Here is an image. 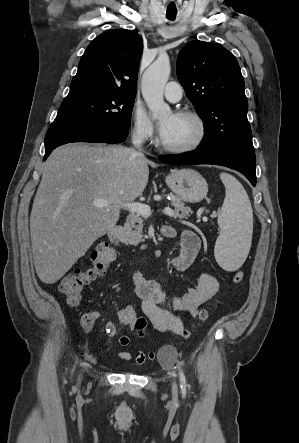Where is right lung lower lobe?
<instances>
[{
	"instance_id": "obj_1",
	"label": "right lung lower lobe",
	"mask_w": 299,
	"mask_h": 443,
	"mask_svg": "<svg viewBox=\"0 0 299 443\" xmlns=\"http://www.w3.org/2000/svg\"><path fill=\"white\" fill-rule=\"evenodd\" d=\"M128 136V130L118 126L89 127L77 130H48L45 137L46 160L58 146L72 142H101L115 144L123 142Z\"/></svg>"
}]
</instances>
